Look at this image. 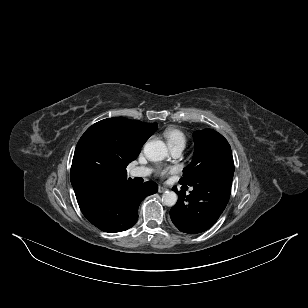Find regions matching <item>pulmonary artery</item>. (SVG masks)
<instances>
[{"label": "pulmonary artery", "instance_id": "e3ab8cb5", "mask_svg": "<svg viewBox=\"0 0 308 308\" xmlns=\"http://www.w3.org/2000/svg\"><path fill=\"white\" fill-rule=\"evenodd\" d=\"M169 148L173 156H179L184 149L182 146H171ZM129 173L132 177H146L150 175L151 169L149 167L139 166L132 168Z\"/></svg>", "mask_w": 308, "mask_h": 308}]
</instances>
